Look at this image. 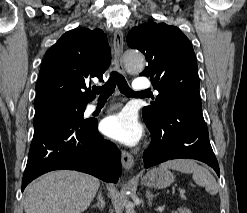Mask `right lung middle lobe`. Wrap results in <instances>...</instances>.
I'll use <instances>...</instances> for the list:
<instances>
[{
  "mask_svg": "<svg viewBox=\"0 0 247 213\" xmlns=\"http://www.w3.org/2000/svg\"><path fill=\"white\" fill-rule=\"evenodd\" d=\"M86 105L71 100H54L35 109L34 121L42 117H50L66 118L75 122L86 123L88 120L83 119Z\"/></svg>",
  "mask_w": 247,
  "mask_h": 213,
  "instance_id": "1",
  "label": "right lung middle lobe"
}]
</instances>
